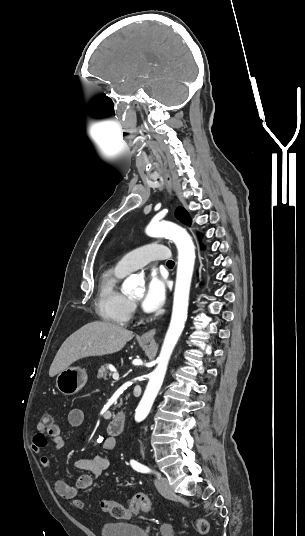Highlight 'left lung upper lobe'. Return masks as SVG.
I'll return each mask as SVG.
<instances>
[{
    "label": "left lung upper lobe",
    "instance_id": "obj_1",
    "mask_svg": "<svg viewBox=\"0 0 305 536\" xmlns=\"http://www.w3.org/2000/svg\"><path fill=\"white\" fill-rule=\"evenodd\" d=\"M175 216L182 223H185V224H190L191 223L190 216H189V214L187 213V211L184 208H181V207L177 208L176 211H175Z\"/></svg>",
    "mask_w": 305,
    "mask_h": 536
}]
</instances>
